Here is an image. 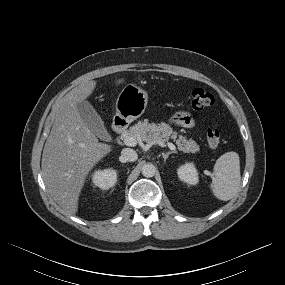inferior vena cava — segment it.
<instances>
[{"mask_svg":"<svg viewBox=\"0 0 285 285\" xmlns=\"http://www.w3.org/2000/svg\"><path fill=\"white\" fill-rule=\"evenodd\" d=\"M137 159H138V155L136 151H134L131 148H124L121 151V157H120L121 162H134Z\"/></svg>","mask_w":285,"mask_h":285,"instance_id":"602c4592","label":"inferior vena cava"}]
</instances>
